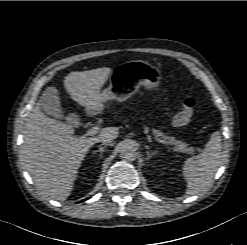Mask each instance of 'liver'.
<instances>
[{"label": "liver", "mask_w": 247, "mask_h": 245, "mask_svg": "<svg viewBox=\"0 0 247 245\" xmlns=\"http://www.w3.org/2000/svg\"><path fill=\"white\" fill-rule=\"evenodd\" d=\"M111 71L102 67L71 72L64 78L65 89L79 105L100 110L103 106L100 89ZM118 133L116 127H106L95 137L74 136L71 125L47 117L36 104L26 119L22 159L38 190L64 201L71 194L88 150L104 138H117Z\"/></svg>", "instance_id": "liver-1"}]
</instances>
